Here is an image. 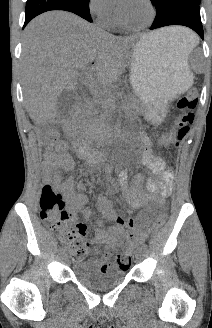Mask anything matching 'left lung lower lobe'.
<instances>
[{"label": "left lung lower lobe", "mask_w": 212, "mask_h": 328, "mask_svg": "<svg viewBox=\"0 0 212 328\" xmlns=\"http://www.w3.org/2000/svg\"><path fill=\"white\" fill-rule=\"evenodd\" d=\"M156 7V17L150 30L183 25L191 28L203 39V27L199 4L194 0H151Z\"/></svg>", "instance_id": "0a47b994"}]
</instances>
